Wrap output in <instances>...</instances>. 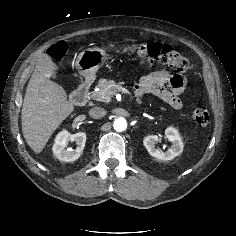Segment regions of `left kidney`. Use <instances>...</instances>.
Segmentation results:
<instances>
[{"label":"left kidney","mask_w":236,"mask_h":236,"mask_svg":"<svg viewBox=\"0 0 236 236\" xmlns=\"http://www.w3.org/2000/svg\"><path fill=\"white\" fill-rule=\"evenodd\" d=\"M165 136L171 141V147L167 151H161L155 147V143L158 140V136L156 135H149L144 138L143 144L147 149L148 153L157 158L158 160H172L173 158L180 155L183 151V141L177 131V129L173 127H168L165 130Z\"/></svg>","instance_id":"5707ae66"}]
</instances>
